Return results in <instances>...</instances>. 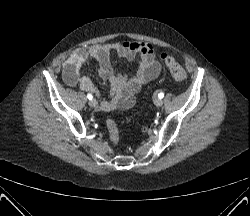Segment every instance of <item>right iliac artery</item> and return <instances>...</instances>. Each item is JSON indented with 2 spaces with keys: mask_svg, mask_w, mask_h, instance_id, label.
Here are the masks:
<instances>
[{
  "mask_svg": "<svg viewBox=\"0 0 250 216\" xmlns=\"http://www.w3.org/2000/svg\"><path fill=\"white\" fill-rule=\"evenodd\" d=\"M87 98H88L89 100H91V99L93 98V96H92L91 94H88V95H87Z\"/></svg>",
  "mask_w": 250,
  "mask_h": 216,
  "instance_id": "82829eb1",
  "label": "right iliac artery"
}]
</instances>
